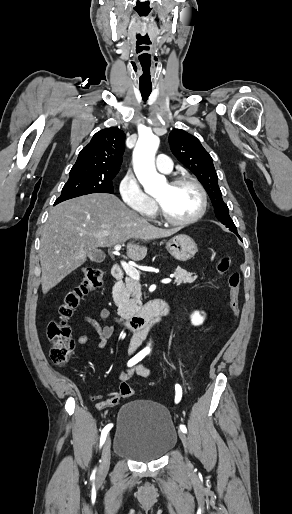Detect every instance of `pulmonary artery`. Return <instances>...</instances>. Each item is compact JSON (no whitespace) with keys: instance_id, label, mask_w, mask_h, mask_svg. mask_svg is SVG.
Returning a JSON list of instances; mask_svg holds the SVG:
<instances>
[{"instance_id":"obj_1","label":"pulmonary artery","mask_w":292,"mask_h":514,"mask_svg":"<svg viewBox=\"0 0 292 514\" xmlns=\"http://www.w3.org/2000/svg\"><path fill=\"white\" fill-rule=\"evenodd\" d=\"M157 158L159 160H161L157 163V170L159 172H163L166 174L169 173L172 168V163H173L172 158L169 156H166V153L164 151H159L157 153Z\"/></svg>"}]
</instances>
